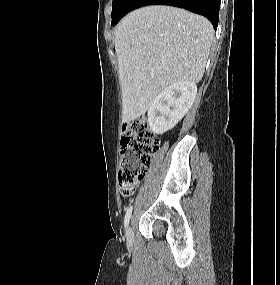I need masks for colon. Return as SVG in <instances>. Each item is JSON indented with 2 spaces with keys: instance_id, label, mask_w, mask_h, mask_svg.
Returning <instances> with one entry per match:
<instances>
[{
  "instance_id": "1",
  "label": "colon",
  "mask_w": 280,
  "mask_h": 285,
  "mask_svg": "<svg viewBox=\"0 0 280 285\" xmlns=\"http://www.w3.org/2000/svg\"><path fill=\"white\" fill-rule=\"evenodd\" d=\"M118 184L123 196H131L147 173L159 140L146 118L139 117L123 127Z\"/></svg>"
}]
</instances>
